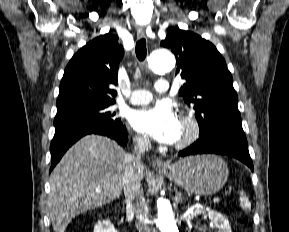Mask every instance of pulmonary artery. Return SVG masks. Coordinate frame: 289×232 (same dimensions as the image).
<instances>
[{"instance_id":"e3ab8cb5","label":"pulmonary artery","mask_w":289,"mask_h":232,"mask_svg":"<svg viewBox=\"0 0 289 232\" xmlns=\"http://www.w3.org/2000/svg\"><path fill=\"white\" fill-rule=\"evenodd\" d=\"M155 90L158 93H166L169 90V83L166 79H159L155 83ZM152 93L147 90H135L132 92L130 104H146L152 100Z\"/></svg>"}]
</instances>
